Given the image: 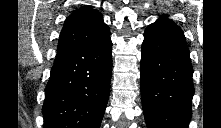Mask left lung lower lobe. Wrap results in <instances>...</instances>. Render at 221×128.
<instances>
[{
    "instance_id": "left-lung-lower-lobe-1",
    "label": "left lung lower lobe",
    "mask_w": 221,
    "mask_h": 128,
    "mask_svg": "<svg viewBox=\"0 0 221 128\" xmlns=\"http://www.w3.org/2000/svg\"><path fill=\"white\" fill-rule=\"evenodd\" d=\"M193 69L182 30L167 16L144 33L141 98L147 128H187L192 116Z\"/></svg>"
}]
</instances>
